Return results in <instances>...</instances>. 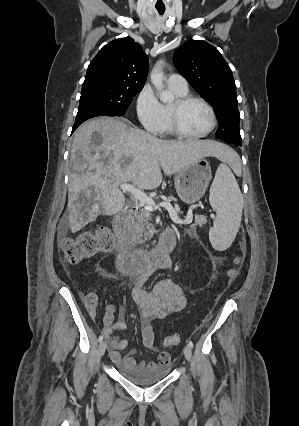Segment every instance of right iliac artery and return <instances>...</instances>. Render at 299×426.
<instances>
[{
  "label": "right iliac artery",
  "mask_w": 299,
  "mask_h": 426,
  "mask_svg": "<svg viewBox=\"0 0 299 426\" xmlns=\"http://www.w3.org/2000/svg\"><path fill=\"white\" fill-rule=\"evenodd\" d=\"M98 341H99V342H102V341H103V336H102V335H101V336H99Z\"/></svg>",
  "instance_id": "right-iliac-artery-1"
}]
</instances>
